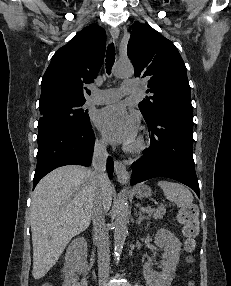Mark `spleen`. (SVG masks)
Masks as SVG:
<instances>
[{
    "label": "spleen",
    "instance_id": "3e777b00",
    "mask_svg": "<svg viewBox=\"0 0 231 286\" xmlns=\"http://www.w3.org/2000/svg\"><path fill=\"white\" fill-rule=\"evenodd\" d=\"M157 185L163 190L165 197L178 207H186L192 204L193 195L185 186L166 180L159 181Z\"/></svg>",
    "mask_w": 231,
    "mask_h": 286
}]
</instances>
